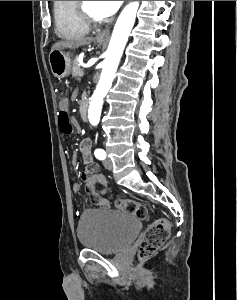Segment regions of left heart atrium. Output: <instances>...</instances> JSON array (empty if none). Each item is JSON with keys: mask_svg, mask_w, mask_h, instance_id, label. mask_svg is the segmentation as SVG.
I'll return each instance as SVG.
<instances>
[{"mask_svg": "<svg viewBox=\"0 0 237 300\" xmlns=\"http://www.w3.org/2000/svg\"><path fill=\"white\" fill-rule=\"evenodd\" d=\"M123 1H100L101 9L106 16H111L119 9Z\"/></svg>", "mask_w": 237, "mask_h": 300, "instance_id": "obj_1", "label": "left heart atrium"}]
</instances>
